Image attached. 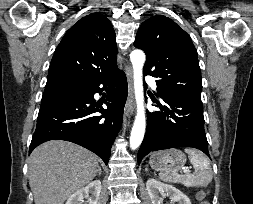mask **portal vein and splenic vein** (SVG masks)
I'll list each match as a JSON object with an SVG mask.
<instances>
[{"label":"portal vein and splenic vein","instance_id":"obj_1","mask_svg":"<svg viewBox=\"0 0 253 204\" xmlns=\"http://www.w3.org/2000/svg\"><path fill=\"white\" fill-rule=\"evenodd\" d=\"M183 173L188 174V173H190V170H189V169H184V170H183Z\"/></svg>","mask_w":253,"mask_h":204}]
</instances>
